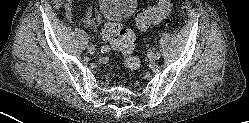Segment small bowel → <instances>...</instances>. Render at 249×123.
I'll return each instance as SVG.
<instances>
[{
	"label": "small bowel",
	"mask_w": 249,
	"mask_h": 123,
	"mask_svg": "<svg viewBox=\"0 0 249 123\" xmlns=\"http://www.w3.org/2000/svg\"><path fill=\"white\" fill-rule=\"evenodd\" d=\"M73 5L74 0H65L64 2L65 15L69 22H74ZM81 20L88 26L96 27L99 24L100 11L94 8L92 3H89L86 14Z\"/></svg>",
	"instance_id": "c3829d8e"
}]
</instances>
